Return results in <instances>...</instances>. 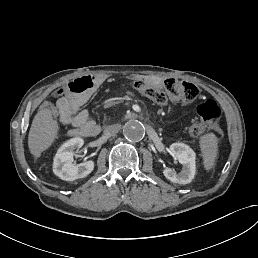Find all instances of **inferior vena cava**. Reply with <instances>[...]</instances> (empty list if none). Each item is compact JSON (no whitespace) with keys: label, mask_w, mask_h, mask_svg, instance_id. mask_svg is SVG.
<instances>
[{"label":"inferior vena cava","mask_w":258,"mask_h":258,"mask_svg":"<svg viewBox=\"0 0 258 258\" xmlns=\"http://www.w3.org/2000/svg\"><path fill=\"white\" fill-rule=\"evenodd\" d=\"M120 129L121 126L119 124L110 125L105 128L104 134L107 136H113L118 133Z\"/></svg>","instance_id":"1"}]
</instances>
